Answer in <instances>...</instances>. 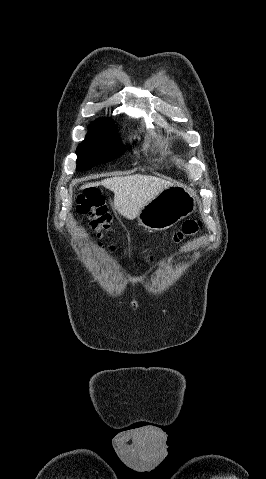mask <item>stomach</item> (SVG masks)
I'll return each mask as SVG.
<instances>
[{"label":"stomach","mask_w":266,"mask_h":479,"mask_svg":"<svg viewBox=\"0 0 266 479\" xmlns=\"http://www.w3.org/2000/svg\"><path fill=\"white\" fill-rule=\"evenodd\" d=\"M195 209V194L176 184L156 195L140 210L138 224L148 230H166L191 215Z\"/></svg>","instance_id":"obj_1"}]
</instances>
